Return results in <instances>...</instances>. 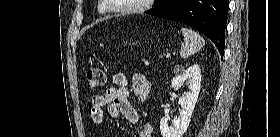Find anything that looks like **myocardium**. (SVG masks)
Wrapping results in <instances>:
<instances>
[{"label":"myocardium","instance_id":"f54148a6","mask_svg":"<svg viewBox=\"0 0 280 137\" xmlns=\"http://www.w3.org/2000/svg\"><path fill=\"white\" fill-rule=\"evenodd\" d=\"M102 1L105 3L107 9L121 14H131V13L142 11L147 6V3L151 2V0H137V3L134 5H131L126 8L116 9L112 5L108 4L107 0H102Z\"/></svg>","mask_w":280,"mask_h":137}]
</instances>
